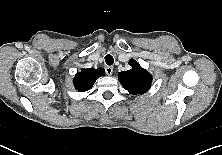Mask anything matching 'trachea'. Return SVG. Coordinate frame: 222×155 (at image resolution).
Instances as JSON below:
<instances>
[{"label":"trachea","instance_id":"obj_1","mask_svg":"<svg viewBox=\"0 0 222 155\" xmlns=\"http://www.w3.org/2000/svg\"><path fill=\"white\" fill-rule=\"evenodd\" d=\"M105 62L107 65H112L114 63V58L108 54L105 56Z\"/></svg>","mask_w":222,"mask_h":155}]
</instances>
